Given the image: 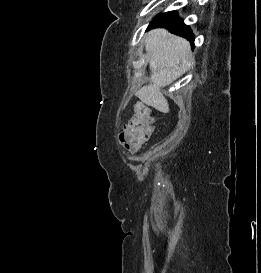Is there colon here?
I'll return each instance as SVG.
<instances>
[{"label":"colon","mask_w":261,"mask_h":273,"mask_svg":"<svg viewBox=\"0 0 261 273\" xmlns=\"http://www.w3.org/2000/svg\"><path fill=\"white\" fill-rule=\"evenodd\" d=\"M155 119L148 106L136 103L134 116L121 132L120 142L129 150L136 151L146 143L153 133Z\"/></svg>","instance_id":"1"}]
</instances>
